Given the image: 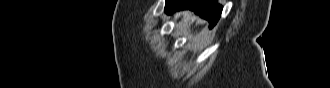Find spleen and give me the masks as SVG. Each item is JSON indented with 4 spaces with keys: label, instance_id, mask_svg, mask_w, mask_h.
<instances>
[{
    "label": "spleen",
    "instance_id": "1",
    "mask_svg": "<svg viewBox=\"0 0 330 88\" xmlns=\"http://www.w3.org/2000/svg\"><path fill=\"white\" fill-rule=\"evenodd\" d=\"M207 30H203L200 33H198L196 36L192 37L191 40L193 42H199L201 39H207Z\"/></svg>",
    "mask_w": 330,
    "mask_h": 88
}]
</instances>
